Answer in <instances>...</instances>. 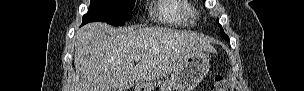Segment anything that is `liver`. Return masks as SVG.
<instances>
[{
	"mask_svg": "<svg viewBox=\"0 0 304 91\" xmlns=\"http://www.w3.org/2000/svg\"><path fill=\"white\" fill-rule=\"evenodd\" d=\"M198 51L215 49L195 32L89 23L75 37L71 91H127L174 73ZM135 56L140 57L136 65Z\"/></svg>",
	"mask_w": 304,
	"mask_h": 91,
	"instance_id": "liver-1",
	"label": "liver"
}]
</instances>
